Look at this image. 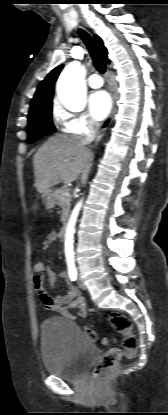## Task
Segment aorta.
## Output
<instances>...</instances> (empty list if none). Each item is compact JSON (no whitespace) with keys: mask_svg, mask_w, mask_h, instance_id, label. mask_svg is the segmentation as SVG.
<instances>
[{"mask_svg":"<svg viewBox=\"0 0 168 415\" xmlns=\"http://www.w3.org/2000/svg\"><path fill=\"white\" fill-rule=\"evenodd\" d=\"M85 68L79 62L67 65L59 76L57 94L61 103L71 111H82L86 105ZM82 206L80 200L69 218L65 233V255L69 265L74 264V233L78 214Z\"/></svg>","mask_w":168,"mask_h":415,"instance_id":"1","label":"aorta"}]
</instances>
